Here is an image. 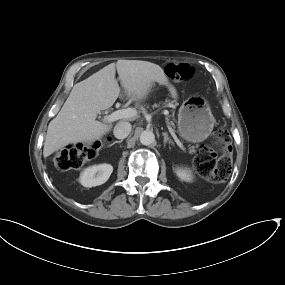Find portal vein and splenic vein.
<instances>
[{
	"label": "portal vein and splenic vein",
	"mask_w": 285,
	"mask_h": 285,
	"mask_svg": "<svg viewBox=\"0 0 285 285\" xmlns=\"http://www.w3.org/2000/svg\"><path fill=\"white\" fill-rule=\"evenodd\" d=\"M136 110L133 108H127V109H120L117 110L113 113H111L110 115L105 116V121L107 122H114L117 121L119 119H124V118H129V117H133L136 115ZM164 114H168V112H164ZM166 122H167V127L169 129L170 134L172 135V137L174 138L176 144L183 150L185 151V147L184 145L180 142V140L177 138V136L175 135L173 129L170 126V123L168 121V118H166Z\"/></svg>",
	"instance_id": "18ae733b"
}]
</instances>
